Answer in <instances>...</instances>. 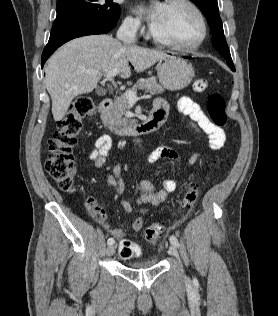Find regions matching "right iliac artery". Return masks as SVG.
<instances>
[{
    "label": "right iliac artery",
    "mask_w": 278,
    "mask_h": 316,
    "mask_svg": "<svg viewBox=\"0 0 278 316\" xmlns=\"http://www.w3.org/2000/svg\"><path fill=\"white\" fill-rule=\"evenodd\" d=\"M114 242H115V240L113 238H109L107 241L108 245H113Z\"/></svg>",
    "instance_id": "1"
}]
</instances>
